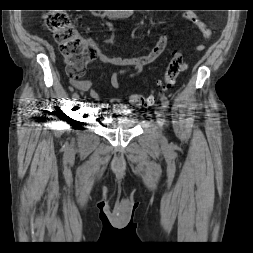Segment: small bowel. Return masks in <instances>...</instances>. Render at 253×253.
<instances>
[{
  "mask_svg": "<svg viewBox=\"0 0 253 253\" xmlns=\"http://www.w3.org/2000/svg\"><path fill=\"white\" fill-rule=\"evenodd\" d=\"M184 17L193 22L198 29L203 33L206 38H209L210 35L206 34V26L203 21H201L196 15L191 13L184 14ZM168 44V36L162 31L152 49L145 55L139 57L131 58H121L115 56L107 55L101 48L95 47L96 58L99 59L102 63L112 64L121 67L119 71L113 72L106 82V87H112L114 89H119V77L123 74H126L128 78H134L141 74L143 67L156 61L160 55L165 51ZM203 45L197 46V50H204ZM70 83L76 89L82 92H89L91 98L99 101L100 95L98 91L94 88L93 82L89 79H78L71 78ZM110 102L112 104L118 103L119 100L111 98Z\"/></svg>",
  "mask_w": 253,
  "mask_h": 253,
  "instance_id": "obj_1",
  "label": "small bowel"
}]
</instances>
